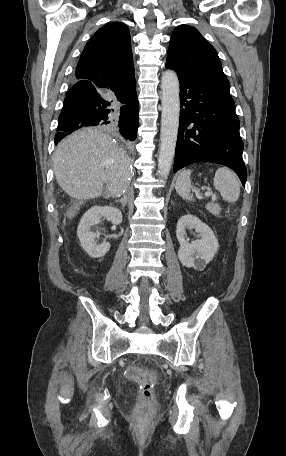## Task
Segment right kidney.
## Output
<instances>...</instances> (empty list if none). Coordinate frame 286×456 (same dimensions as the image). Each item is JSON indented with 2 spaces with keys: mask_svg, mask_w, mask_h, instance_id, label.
Here are the masks:
<instances>
[{
  "mask_svg": "<svg viewBox=\"0 0 286 456\" xmlns=\"http://www.w3.org/2000/svg\"><path fill=\"white\" fill-rule=\"evenodd\" d=\"M104 219H110L113 225L122 223V213L112 206H94L81 218L77 228V236L83 249L93 258L103 257L110 249L108 242L97 244L95 239L99 233L91 230V227L99 224Z\"/></svg>",
  "mask_w": 286,
  "mask_h": 456,
  "instance_id": "right-kidney-1",
  "label": "right kidney"
}]
</instances>
